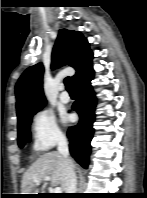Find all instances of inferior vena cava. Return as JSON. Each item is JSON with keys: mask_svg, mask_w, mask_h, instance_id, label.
<instances>
[{"mask_svg": "<svg viewBox=\"0 0 147 198\" xmlns=\"http://www.w3.org/2000/svg\"><path fill=\"white\" fill-rule=\"evenodd\" d=\"M58 152L63 157L66 167L65 193H76L77 178L74 171V164L69 157L68 141L62 136L58 140Z\"/></svg>", "mask_w": 147, "mask_h": 198, "instance_id": "1", "label": "inferior vena cava"}]
</instances>
